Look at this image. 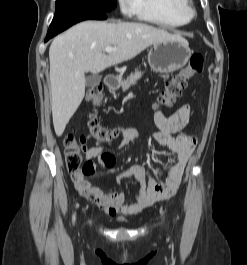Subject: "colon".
Returning <instances> with one entry per match:
<instances>
[{
	"instance_id": "obj_1",
	"label": "colon",
	"mask_w": 247,
	"mask_h": 265,
	"mask_svg": "<svg viewBox=\"0 0 247 265\" xmlns=\"http://www.w3.org/2000/svg\"><path fill=\"white\" fill-rule=\"evenodd\" d=\"M203 70V57L201 54H193L188 62V65L175 74L165 85L162 91L159 103L162 106H171L176 98L187 87L189 79ZM87 101L97 106L102 101V91L99 87H92L86 95ZM86 134L77 137L75 133H69L64 140L66 146V167L68 172L72 174H90L93 167L90 163L83 160L84 144L93 139L98 145L110 144L122 138L125 130L123 129H108L103 127L95 113L88 115L85 123Z\"/></svg>"
}]
</instances>
